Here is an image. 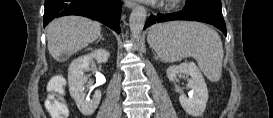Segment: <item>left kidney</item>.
<instances>
[{
    "label": "left kidney",
    "instance_id": "1",
    "mask_svg": "<svg viewBox=\"0 0 273 118\" xmlns=\"http://www.w3.org/2000/svg\"><path fill=\"white\" fill-rule=\"evenodd\" d=\"M167 77L170 81H175L178 74L189 75L188 88L193 95L186 97L181 94L179 97L180 104L186 113L192 116L203 114L208 101V90L199 68L193 62H185L177 66H170L167 71Z\"/></svg>",
    "mask_w": 273,
    "mask_h": 118
}]
</instances>
